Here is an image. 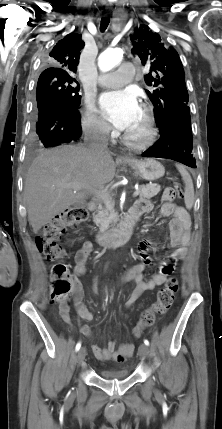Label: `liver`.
<instances>
[{
    "label": "liver",
    "instance_id": "obj_1",
    "mask_svg": "<svg viewBox=\"0 0 222 429\" xmlns=\"http://www.w3.org/2000/svg\"><path fill=\"white\" fill-rule=\"evenodd\" d=\"M116 166L108 150L92 152L85 146H61L42 151L31 164L24 197L29 224L37 233L57 214L112 181ZM76 184H83L75 189Z\"/></svg>",
    "mask_w": 222,
    "mask_h": 429
}]
</instances>
